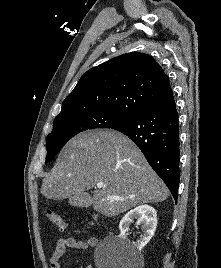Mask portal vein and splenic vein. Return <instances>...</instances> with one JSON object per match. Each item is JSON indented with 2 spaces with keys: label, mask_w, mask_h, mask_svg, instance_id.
Instances as JSON below:
<instances>
[{
  "label": "portal vein and splenic vein",
  "mask_w": 221,
  "mask_h": 268,
  "mask_svg": "<svg viewBox=\"0 0 221 268\" xmlns=\"http://www.w3.org/2000/svg\"><path fill=\"white\" fill-rule=\"evenodd\" d=\"M97 187H98L99 189H101V188L103 187V185H102V184H98ZM108 199H109V200H119L120 198L109 197Z\"/></svg>",
  "instance_id": "portal-vein-and-splenic-vein-1"
}]
</instances>
